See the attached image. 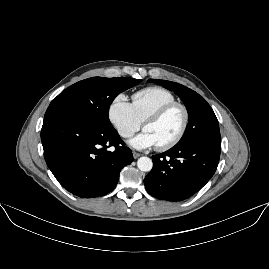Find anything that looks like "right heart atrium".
Returning a JSON list of instances; mask_svg holds the SVG:
<instances>
[{
	"label": "right heart atrium",
	"mask_w": 269,
	"mask_h": 269,
	"mask_svg": "<svg viewBox=\"0 0 269 269\" xmlns=\"http://www.w3.org/2000/svg\"><path fill=\"white\" fill-rule=\"evenodd\" d=\"M108 117L117 133L124 138L132 136L142 127V122L124 94H118L112 99L108 108Z\"/></svg>",
	"instance_id": "obj_1"
}]
</instances>
